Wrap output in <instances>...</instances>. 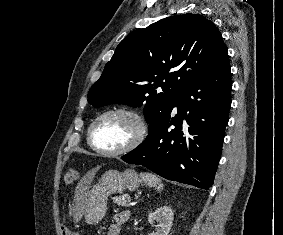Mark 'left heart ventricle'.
<instances>
[{"mask_svg":"<svg viewBox=\"0 0 283 235\" xmlns=\"http://www.w3.org/2000/svg\"><path fill=\"white\" fill-rule=\"evenodd\" d=\"M136 132L135 122L122 114L109 115L95 127L94 144L104 150H116L125 146Z\"/></svg>","mask_w":283,"mask_h":235,"instance_id":"obj_1","label":"left heart ventricle"}]
</instances>
